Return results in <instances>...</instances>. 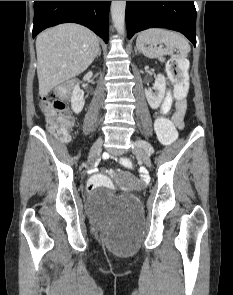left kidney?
Instances as JSON below:
<instances>
[{
  "mask_svg": "<svg viewBox=\"0 0 233 295\" xmlns=\"http://www.w3.org/2000/svg\"><path fill=\"white\" fill-rule=\"evenodd\" d=\"M153 89L155 92L145 89V96L150 107L157 109L164 99L166 91V79L162 74L157 75Z\"/></svg>",
  "mask_w": 233,
  "mask_h": 295,
  "instance_id": "1",
  "label": "left kidney"
}]
</instances>
